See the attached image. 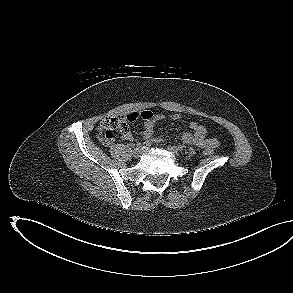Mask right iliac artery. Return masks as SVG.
I'll list each match as a JSON object with an SVG mask.
<instances>
[{"mask_svg": "<svg viewBox=\"0 0 293 293\" xmlns=\"http://www.w3.org/2000/svg\"><path fill=\"white\" fill-rule=\"evenodd\" d=\"M152 142L150 140H146L145 142H143V147H149L151 146Z\"/></svg>", "mask_w": 293, "mask_h": 293, "instance_id": "82829eb1", "label": "right iliac artery"}]
</instances>
